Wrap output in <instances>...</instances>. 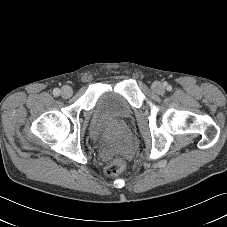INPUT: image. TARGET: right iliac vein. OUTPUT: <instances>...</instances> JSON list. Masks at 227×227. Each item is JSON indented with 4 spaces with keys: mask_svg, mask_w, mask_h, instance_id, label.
I'll list each match as a JSON object with an SVG mask.
<instances>
[{
    "mask_svg": "<svg viewBox=\"0 0 227 227\" xmlns=\"http://www.w3.org/2000/svg\"><path fill=\"white\" fill-rule=\"evenodd\" d=\"M73 91H72V88L70 86H63L62 87V90H61V95L64 97V98H69L71 95H72Z\"/></svg>",
    "mask_w": 227,
    "mask_h": 227,
    "instance_id": "right-iliac-vein-1",
    "label": "right iliac vein"
}]
</instances>
